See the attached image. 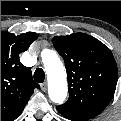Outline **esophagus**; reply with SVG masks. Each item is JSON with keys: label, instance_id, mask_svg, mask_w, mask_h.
I'll list each match as a JSON object with an SVG mask.
<instances>
[{"label": "esophagus", "instance_id": "1", "mask_svg": "<svg viewBox=\"0 0 121 121\" xmlns=\"http://www.w3.org/2000/svg\"><path fill=\"white\" fill-rule=\"evenodd\" d=\"M40 87H41V90H42V91H46V90H47V82H43V83L40 85Z\"/></svg>", "mask_w": 121, "mask_h": 121}]
</instances>
